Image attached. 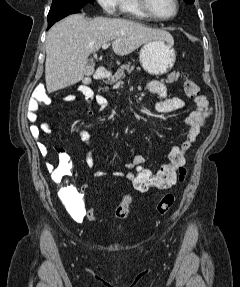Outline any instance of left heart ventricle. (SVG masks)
I'll use <instances>...</instances> for the list:
<instances>
[{"mask_svg":"<svg viewBox=\"0 0 240 287\" xmlns=\"http://www.w3.org/2000/svg\"><path fill=\"white\" fill-rule=\"evenodd\" d=\"M153 11L159 16H171L175 11L174 0H149Z\"/></svg>","mask_w":240,"mask_h":287,"instance_id":"left-heart-ventricle-1","label":"left heart ventricle"}]
</instances>
